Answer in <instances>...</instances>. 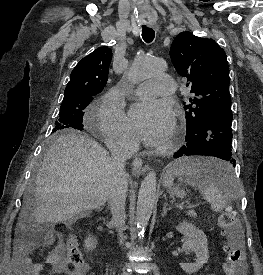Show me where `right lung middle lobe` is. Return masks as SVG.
Returning <instances> with one entry per match:
<instances>
[{
    "mask_svg": "<svg viewBox=\"0 0 263 275\" xmlns=\"http://www.w3.org/2000/svg\"><path fill=\"white\" fill-rule=\"evenodd\" d=\"M93 97L90 95H77L64 98L59 112V119L55 123L52 133L58 134L62 130H83V110L90 104Z\"/></svg>",
    "mask_w": 263,
    "mask_h": 275,
    "instance_id": "right-lung-middle-lobe-1",
    "label": "right lung middle lobe"
}]
</instances>
